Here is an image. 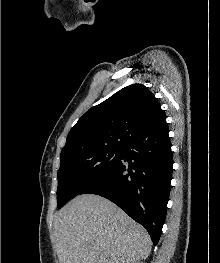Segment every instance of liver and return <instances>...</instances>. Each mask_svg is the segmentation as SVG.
<instances>
[{
	"label": "liver",
	"mask_w": 220,
	"mask_h": 263,
	"mask_svg": "<svg viewBox=\"0 0 220 263\" xmlns=\"http://www.w3.org/2000/svg\"><path fill=\"white\" fill-rule=\"evenodd\" d=\"M59 263H130L151 252L148 232L111 201L75 197L54 219Z\"/></svg>",
	"instance_id": "obj_1"
}]
</instances>
